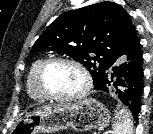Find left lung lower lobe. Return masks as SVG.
Here are the masks:
<instances>
[{
	"mask_svg": "<svg viewBox=\"0 0 153 134\" xmlns=\"http://www.w3.org/2000/svg\"><path fill=\"white\" fill-rule=\"evenodd\" d=\"M143 57L140 46L131 54L118 60L99 83L94 86L95 90L109 92L114 86H120L123 91L117 89L121 101L130 109L133 118L137 116L141 107V96L143 92Z\"/></svg>",
	"mask_w": 153,
	"mask_h": 134,
	"instance_id": "left-lung-lower-lobe-1",
	"label": "left lung lower lobe"
}]
</instances>
